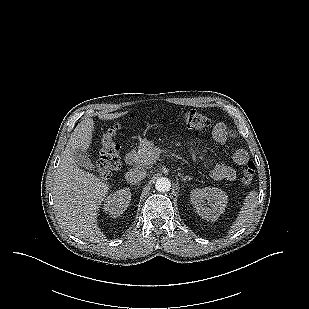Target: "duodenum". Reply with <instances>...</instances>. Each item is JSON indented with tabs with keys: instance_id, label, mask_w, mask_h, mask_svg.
<instances>
[{
	"instance_id": "obj_1",
	"label": "duodenum",
	"mask_w": 309,
	"mask_h": 309,
	"mask_svg": "<svg viewBox=\"0 0 309 309\" xmlns=\"http://www.w3.org/2000/svg\"><path fill=\"white\" fill-rule=\"evenodd\" d=\"M124 160L127 165H131L136 160V152L134 150L128 151L125 155Z\"/></svg>"
}]
</instances>
